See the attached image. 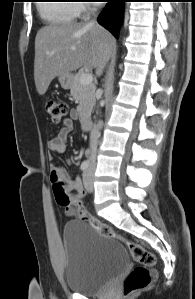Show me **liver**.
I'll return each mask as SVG.
<instances>
[{
    "mask_svg": "<svg viewBox=\"0 0 195 299\" xmlns=\"http://www.w3.org/2000/svg\"><path fill=\"white\" fill-rule=\"evenodd\" d=\"M114 38L99 25L68 22L41 28L35 38L34 80L44 95L51 81L80 67L100 75L112 53Z\"/></svg>",
    "mask_w": 195,
    "mask_h": 299,
    "instance_id": "6515ba94",
    "label": "liver"
}]
</instances>
